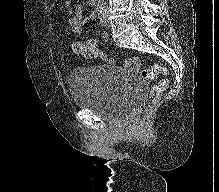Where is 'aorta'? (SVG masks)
I'll return each instance as SVG.
<instances>
[{
	"instance_id": "762f6f07",
	"label": "aorta",
	"mask_w": 219,
	"mask_h": 192,
	"mask_svg": "<svg viewBox=\"0 0 219 192\" xmlns=\"http://www.w3.org/2000/svg\"><path fill=\"white\" fill-rule=\"evenodd\" d=\"M99 2H103L104 0H98Z\"/></svg>"
}]
</instances>
